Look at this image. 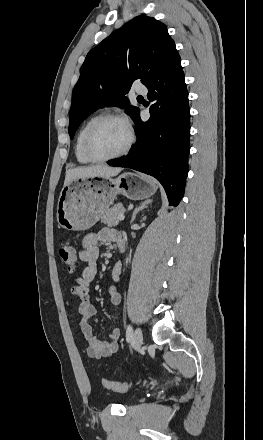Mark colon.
Wrapping results in <instances>:
<instances>
[{
    "mask_svg": "<svg viewBox=\"0 0 263 440\" xmlns=\"http://www.w3.org/2000/svg\"><path fill=\"white\" fill-rule=\"evenodd\" d=\"M60 257L69 271H76L79 261L76 255V248L71 242L63 243L59 248ZM102 385L113 392H124L128 389L127 383L112 382L103 379Z\"/></svg>",
    "mask_w": 263,
    "mask_h": 440,
    "instance_id": "colon-1",
    "label": "colon"
}]
</instances>
